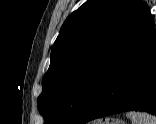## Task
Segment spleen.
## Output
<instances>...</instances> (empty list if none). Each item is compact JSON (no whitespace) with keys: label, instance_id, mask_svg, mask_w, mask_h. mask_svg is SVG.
Listing matches in <instances>:
<instances>
[{"label":"spleen","instance_id":"spleen-1","mask_svg":"<svg viewBox=\"0 0 156 124\" xmlns=\"http://www.w3.org/2000/svg\"><path fill=\"white\" fill-rule=\"evenodd\" d=\"M127 117L132 121V124H156V117L142 112H128Z\"/></svg>","mask_w":156,"mask_h":124}]
</instances>
